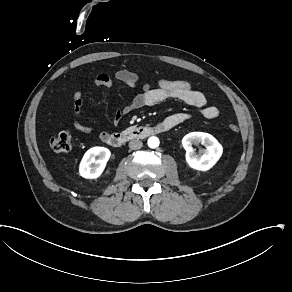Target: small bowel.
Instances as JSON below:
<instances>
[{
	"label": "small bowel",
	"instance_id": "obj_1",
	"mask_svg": "<svg viewBox=\"0 0 292 292\" xmlns=\"http://www.w3.org/2000/svg\"><path fill=\"white\" fill-rule=\"evenodd\" d=\"M114 77L131 88H134L141 78L138 73L125 69L117 71ZM94 83L98 87L111 88L113 86V80L107 73H99L95 77ZM167 100H179L192 105L200 109L202 115L207 119H216L220 115L219 108L208 105L206 96L202 92L195 90L189 82L161 79L158 81V86L156 88H153L149 83H144L141 91L134 96L130 103L117 111L114 122H119L123 116L134 111L155 106ZM85 102L86 97L82 92L78 91L74 94L73 125L78 131L91 134L94 132V128L82 122V112ZM187 119L188 114L186 113H174L164 118L159 125L162 127H169L170 130ZM109 134L107 130L101 131L99 135L100 140L105 142Z\"/></svg>",
	"mask_w": 292,
	"mask_h": 292
}]
</instances>
